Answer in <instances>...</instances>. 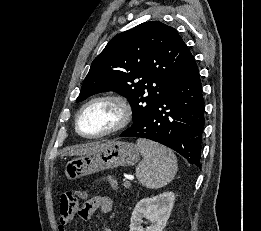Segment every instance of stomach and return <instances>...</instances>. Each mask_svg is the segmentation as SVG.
<instances>
[{"mask_svg": "<svg viewBox=\"0 0 261 231\" xmlns=\"http://www.w3.org/2000/svg\"><path fill=\"white\" fill-rule=\"evenodd\" d=\"M139 158L138 147L130 142L112 141L104 148L69 160L65 165V175L69 180L106 169L133 166Z\"/></svg>", "mask_w": 261, "mask_h": 231, "instance_id": "1", "label": "stomach"}]
</instances>
